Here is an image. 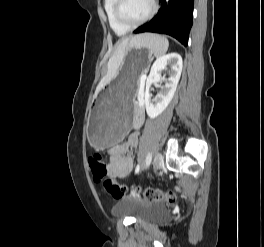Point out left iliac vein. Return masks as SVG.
<instances>
[{
	"instance_id": "obj_1",
	"label": "left iliac vein",
	"mask_w": 264,
	"mask_h": 247,
	"mask_svg": "<svg viewBox=\"0 0 264 247\" xmlns=\"http://www.w3.org/2000/svg\"><path fill=\"white\" fill-rule=\"evenodd\" d=\"M164 164V160H163V156L161 153H157L155 158H154V161H153V169L154 171H158L162 168Z\"/></svg>"
}]
</instances>
